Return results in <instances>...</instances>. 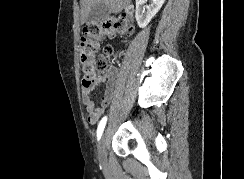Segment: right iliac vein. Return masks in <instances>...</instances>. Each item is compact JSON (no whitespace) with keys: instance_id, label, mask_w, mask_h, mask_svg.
Listing matches in <instances>:
<instances>
[{"instance_id":"63e3f726","label":"right iliac vein","mask_w":244,"mask_h":179,"mask_svg":"<svg viewBox=\"0 0 244 179\" xmlns=\"http://www.w3.org/2000/svg\"><path fill=\"white\" fill-rule=\"evenodd\" d=\"M106 140H107V132H104L102 135V138L100 140L99 146H98V159L103 164L106 162Z\"/></svg>"}]
</instances>
